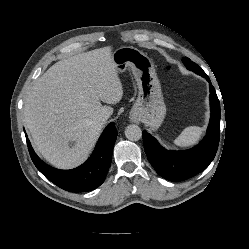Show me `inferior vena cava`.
Listing matches in <instances>:
<instances>
[{
	"mask_svg": "<svg viewBox=\"0 0 249 249\" xmlns=\"http://www.w3.org/2000/svg\"><path fill=\"white\" fill-rule=\"evenodd\" d=\"M108 118H109V115H107V114H101L98 117V122H100L101 124H104L107 121Z\"/></svg>",
	"mask_w": 249,
	"mask_h": 249,
	"instance_id": "1",
	"label": "inferior vena cava"
}]
</instances>
